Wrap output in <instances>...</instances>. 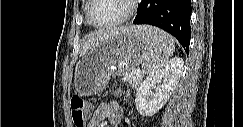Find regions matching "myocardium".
Returning <instances> with one entry per match:
<instances>
[{
	"instance_id": "1",
	"label": "myocardium",
	"mask_w": 243,
	"mask_h": 127,
	"mask_svg": "<svg viewBox=\"0 0 243 127\" xmlns=\"http://www.w3.org/2000/svg\"><path fill=\"white\" fill-rule=\"evenodd\" d=\"M94 0H88L87 1V6H86V18L88 23L96 28H108V27H114V26H118L124 22H126L127 20H129L136 12L137 10V3L138 0H125L128 6V9L126 11V13L121 16L120 18L111 21V22H107V23H96L93 21L92 17H91V7L93 4Z\"/></svg>"
}]
</instances>
